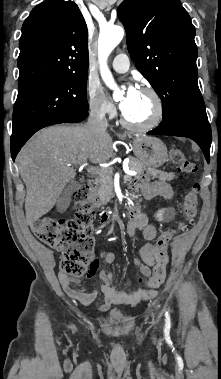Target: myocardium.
I'll return each mask as SVG.
<instances>
[{"instance_id":"f54148a6","label":"myocardium","mask_w":221,"mask_h":379,"mask_svg":"<svg viewBox=\"0 0 221 379\" xmlns=\"http://www.w3.org/2000/svg\"><path fill=\"white\" fill-rule=\"evenodd\" d=\"M141 93H144L151 97L154 103V113L150 120H148L145 123H134L129 121L126 116L124 115V112L121 114V122L122 124L132 130L136 131H149L157 127L160 122L162 121L163 114H164V105L162 98L160 97L159 93L151 88V87H143L141 89Z\"/></svg>"}]
</instances>
